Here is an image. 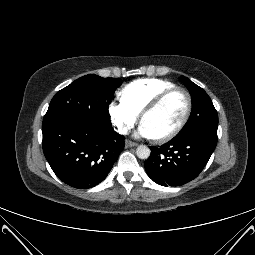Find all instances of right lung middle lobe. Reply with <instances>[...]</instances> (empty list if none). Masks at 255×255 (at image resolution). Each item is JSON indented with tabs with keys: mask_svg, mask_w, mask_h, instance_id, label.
Returning <instances> with one entry per match:
<instances>
[{
	"mask_svg": "<svg viewBox=\"0 0 255 255\" xmlns=\"http://www.w3.org/2000/svg\"><path fill=\"white\" fill-rule=\"evenodd\" d=\"M121 85L115 78L89 74L58 91L50 102L44 120L55 117H78L99 128H109L108 105Z\"/></svg>",
	"mask_w": 255,
	"mask_h": 255,
	"instance_id": "obj_1",
	"label": "right lung middle lobe"
}]
</instances>
